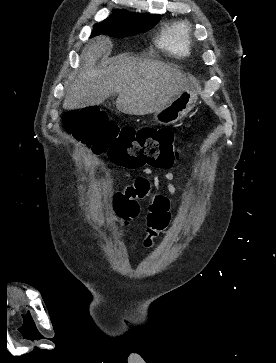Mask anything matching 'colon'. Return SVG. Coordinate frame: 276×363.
<instances>
[{
	"instance_id": "1",
	"label": "colon",
	"mask_w": 276,
	"mask_h": 363,
	"mask_svg": "<svg viewBox=\"0 0 276 363\" xmlns=\"http://www.w3.org/2000/svg\"><path fill=\"white\" fill-rule=\"evenodd\" d=\"M65 127L77 139L98 153H106L117 164L128 168L145 165L167 168L178 159L174 133L167 128H119L110 123L105 114L94 108H83L69 113ZM168 211V210H167ZM169 223V213L163 221L155 214L148 216V224L155 230L164 229ZM146 246L152 240L146 237Z\"/></svg>"
}]
</instances>
